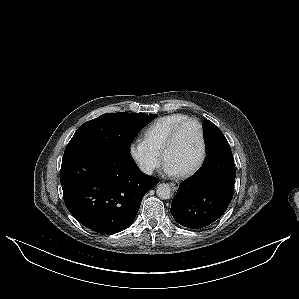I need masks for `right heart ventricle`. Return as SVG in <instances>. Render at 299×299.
Masks as SVG:
<instances>
[{
	"label": "right heart ventricle",
	"mask_w": 299,
	"mask_h": 299,
	"mask_svg": "<svg viewBox=\"0 0 299 299\" xmlns=\"http://www.w3.org/2000/svg\"><path fill=\"white\" fill-rule=\"evenodd\" d=\"M189 120L184 114H171L161 117L145 132V144L155 154L161 155L172 132Z\"/></svg>",
	"instance_id": "e07e8e85"
}]
</instances>
